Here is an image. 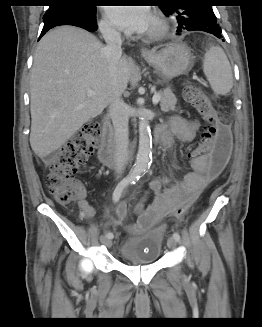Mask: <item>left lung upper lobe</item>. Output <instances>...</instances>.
<instances>
[{
	"instance_id": "obj_1",
	"label": "left lung upper lobe",
	"mask_w": 262,
	"mask_h": 327,
	"mask_svg": "<svg viewBox=\"0 0 262 327\" xmlns=\"http://www.w3.org/2000/svg\"><path fill=\"white\" fill-rule=\"evenodd\" d=\"M176 5L167 4L160 6L162 12L175 19L178 23L179 33L187 31H204L210 34H221V28L211 5H188L186 1L177 0Z\"/></svg>"
}]
</instances>
